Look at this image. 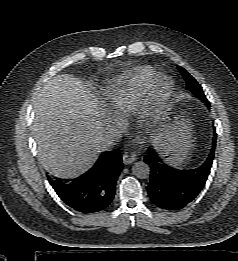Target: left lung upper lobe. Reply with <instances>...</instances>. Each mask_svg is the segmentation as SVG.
<instances>
[{"instance_id": "obj_1", "label": "left lung upper lobe", "mask_w": 238, "mask_h": 261, "mask_svg": "<svg viewBox=\"0 0 238 261\" xmlns=\"http://www.w3.org/2000/svg\"><path fill=\"white\" fill-rule=\"evenodd\" d=\"M179 71L186 81L187 89L205 101L207 98L198 82L184 68L179 67Z\"/></svg>"}]
</instances>
